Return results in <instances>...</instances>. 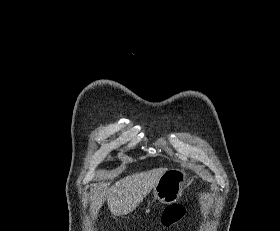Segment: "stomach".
I'll list each match as a JSON object with an SVG mask.
<instances>
[{
  "mask_svg": "<svg viewBox=\"0 0 280 231\" xmlns=\"http://www.w3.org/2000/svg\"><path fill=\"white\" fill-rule=\"evenodd\" d=\"M190 179L184 169H167L160 179H158L154 189V199L162 203H174L178 201L183 189L188 187Z\"/></svg>",
  "mask_w": 280,
  "mask_h": 231,
  "instance_id": "1",
  "label": "stomach"
}]
</instances>
